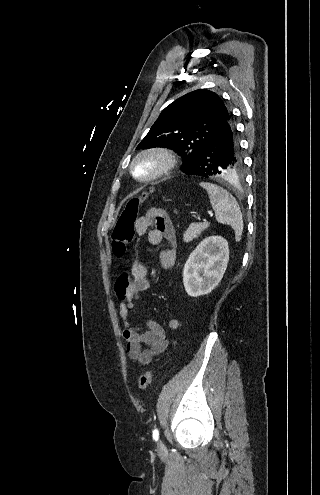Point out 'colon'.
Masks as SVG:
<instances>
[{"label": "colon", "mask_w": 320, "mask_h": 495, "mask_svg": "<svg viewBox=\"0 0 320 495\" xmlns=\"http://www.w3.org/2000/svg\"><path fill=\"white\" fill-rule=\"evenodd\" d=\"M144 196H134L127 200L121 211L112 233V250L117 257H122L134 235V224ZM153 371L143 373L138 380L140 390H146L152 382Z\"/></svg>", "instance_id": "obj_1"}]
</instances>
